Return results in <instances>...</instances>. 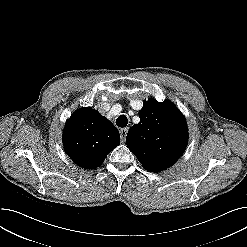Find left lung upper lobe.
<instances>
[{
    "label": "left lung upper lobe",
    "instance_id": "5c2ea615",
    "mask_svg": "<svg viewBox=\"0 0 247 247\" xmlns=\"http://www.w3.org/2000/svg\"><path fill=\"white\" fill-rule=\"evenodd\" d=\"M140 122L128 131L126 144L139 162L150 172L173 165L184 152L188 129L184 116L171 101L144 102Z\"/></svg>",
    "mask_w": 247,
    "mask_h": 247
}]
</instances>
